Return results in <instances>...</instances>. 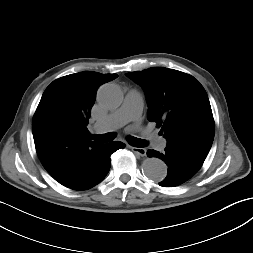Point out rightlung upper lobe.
I'll use <instances>...</instances> for the list:
<instances>
[{
  "mask_svg": "<svg viewBox=\"0 0 253 253\" xmlns=\"http://www.w3.org/2000/svg\"><path fill=\"white\" fill-rule=\"evenodd\" d=\"M117 74L84 71L53 81L45 90L32 121L35 147L48 173L72 188L91 173L103 144L91 141L86 128L100 85Z\"/></svg>",
  "mask_w": 253,
  "mask_h": 253,
  "instance_id": "cb5924a9",
  "label": "right lung upper lobe"
}]
</instances>
